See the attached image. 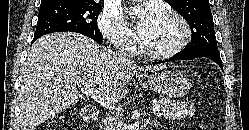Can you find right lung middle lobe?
<instances>
[{
  "label": "right lung middle lobe",
  "instance_id": "obj_1",
  "mask_svg": "<svg viewBox=\"0 0 249 130\" xmlns=\"http://www.w3.org/2000/svg\"><path fill=\"white\" fill-rule=\"evenodd\" d=\"M100 3L90 0H65L40 6L34 37L60 31L82 32L98 41L103 35L97 27Z\"/></svg>",
  "mask_w": 249,
  "mask_h": 130
}]
</instances>
